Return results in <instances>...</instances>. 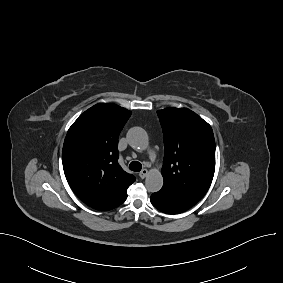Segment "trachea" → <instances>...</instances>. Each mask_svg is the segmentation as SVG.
Returning <instances> with one entry per match:
<instances>
[{
	"label": "trachea",
	"instance_id": "1",
	"mask_svg": "<svg viewBox=\"0 0 283 283\" xmlns=\"http://www.w3.org/2000/svg\"><path fill=\"white\" fill-rule=\"evenodd\" d=\"M129 169L134 171V172H139L142 169V164L138 161H133L129 165Z\"/></svg>",
	"mask_w": 283,
	"mask_h": 283
}]
</instances>
